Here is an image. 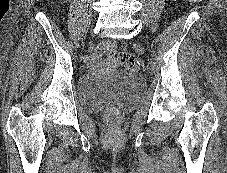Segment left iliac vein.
<instances>
[{
	"label": "left iliac vein",
	"mask_w": 227,
	"mask_h": 173,
	"mask_svg": "<svg viewBox=\"0 0 227 173\" xmlns=\"http://www.w3.org/2000/svg\"><path fill=\"white\" fill-rule=\"evenodd\" d=\"M136 48L139 50V51H143L142 47L140 46V44H136Z\"/></svg>",
	"instance_id": "obj_1"
}]
</instances>
